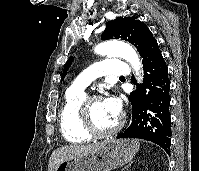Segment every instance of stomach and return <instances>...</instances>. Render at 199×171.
Returning a JSON list of instances; mask_svg holds the SVG:
<instances>
[{
	"label": "stomach",
	"instance_id": "stomach-1",
	"mask_svg": "<svg viewBox=\"0 0 199 171\" xmlns=\"http://www.w3.org/2000/svg\"><path fill=\"white\" fill-rule=\"evenodd\" d=\"M139 143L132 139H108L95 151L61 162L55 171H112L132 160Z\"/></svg>",
	"mask_w": 199,
	"mask_h": 171
}]
</instances>
